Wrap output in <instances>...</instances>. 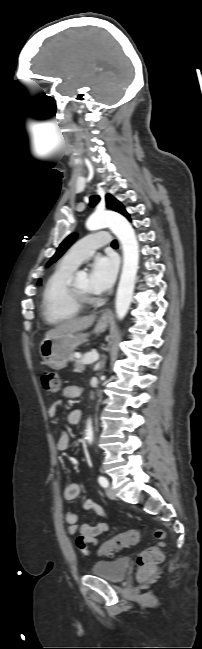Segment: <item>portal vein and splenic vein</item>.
Returning <instances> with one entry per match:
<instances>
[{
  "instance_id": "1",
  "label": "portal vein and splenic vein",
  "mask_w": 202,
  "mask_h": 649,
  "mask_svg": "<svg viewBox=\"0 0 202 649\" xmlns=\"http://www.w3.org/2000/svg\"><path fill=\"white\" fill-rule=\"evenodd\" d=\"M98 359H99L98 354H97L96 352H92V353L87 354V355L83 358V363H84L85 365L93 364V363H95L96 361H98Z\"/></svg>"
}]
</instances>
